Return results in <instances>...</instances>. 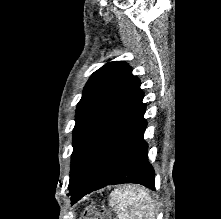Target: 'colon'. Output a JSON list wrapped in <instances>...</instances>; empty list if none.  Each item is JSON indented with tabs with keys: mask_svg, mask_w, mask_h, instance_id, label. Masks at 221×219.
Listing matches in <instances>:
<instances>
[{
	"mask_svg": "<svg viewBox=\"0 0 221 219\" xmlns=\"http://www.w3.org/2000/svg\"><path fill=\"white\" fill-rule=\"evenodd\" d=\"M84 219H115L112 214L105 210H98L94 207H89L84 213Z\"/></svg>",
	"mask_w": 221,
	"mask_h": 219,
	"instance_id": "obj_1",
	"label": "colon"
}]
</instances>
